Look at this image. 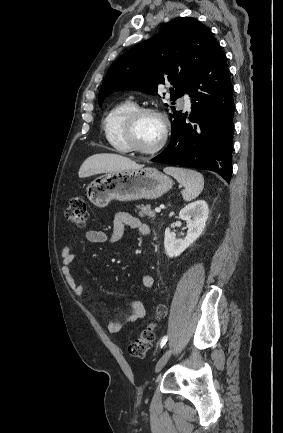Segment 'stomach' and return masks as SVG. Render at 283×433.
Wrapping results in <instances>:
<instances>
[{
    "label": "stomach",
    "instance_id": "1",
    "mask_svg": "<svg viewBox=\"0 0 283 433\" xmlns=\"http://www.w3.org/2000/svg\"><path fill=\"white\" fill-rule=\"evenodd\" d=\"M170 176L157 168L118 170L97 176L87 186L86 196L96 206H106L110 200H139L159 198L172 188Z\"/></svg>",
    "mask_w": 283,
    "mask_h": 433
}]
</instances>
